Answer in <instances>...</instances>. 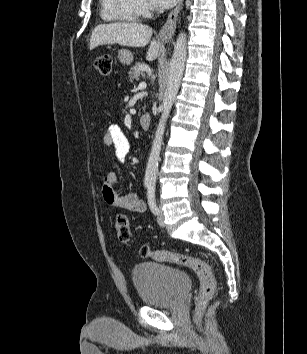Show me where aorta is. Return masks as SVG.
<instances>
[{
  "instance_id": "obj_1",
  "label": "aorta",
  "mask_w": 307,
  "mask_h": 354,
  "mask_svg": "<svg viewBox=\"0 0 307 354\" xmlns=\"http://www.w3.org/2000/svg\"><path fill=\"white\" fill-rule=\"evenodd\" d=\"M187 56V41L186 34L181 33L174 45V51L169 63V72L167 80V88L164 94L163 102L161 105V118L159 120L155 136L153 139L144 183L145 185H155L158 173V164L160 160V152L163 142V135L165 132L166 122L170 115L174 100L180 88L181 80L185 69V61Z\"/></svg>"
}]
</instances>
